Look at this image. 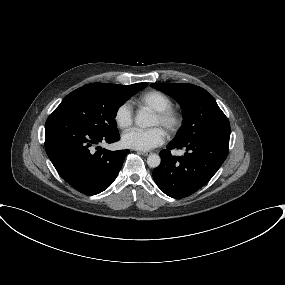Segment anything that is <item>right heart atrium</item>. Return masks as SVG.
I'll use <instances>...</instances> for the list:
<instances>
[{"instance_id":"d8ad5b80","label":"right heart atrium","mask_w":285,"mask_h":285,"mask_svg":"<svg viewBox=\"0 0 285 285\" xmlns=\"http://www.w3.org/2000/svg\"><path fill=\"white\" fill-rule=\"evenodd\" d=\"M114 119L121 129L129 128L134 120L133 108L129 102H124L115 111Z\"/></svg>"}]
</instances>
